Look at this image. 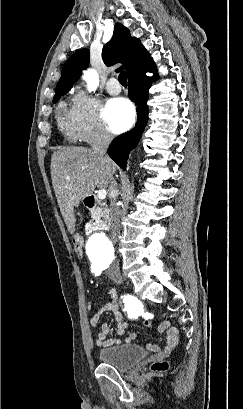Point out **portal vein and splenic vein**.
<instances>
[{
  "instance_id": "18ae733b",
  "label": "portal vein and splenic vein",
  "mask_w": 243,
  "mask_h": 409,
  "mask_svg": "<svg viewBox=\"0 0 243 409\" xmlns=\"http://www.w3.org/2000/svg\"><path fill=\"white\" fill-rule=\"evenodd\" d=\"M106 190L105 189H100L97 193V198L100 200H103L106 198Z\"/></svg>"
}]
</instances>
